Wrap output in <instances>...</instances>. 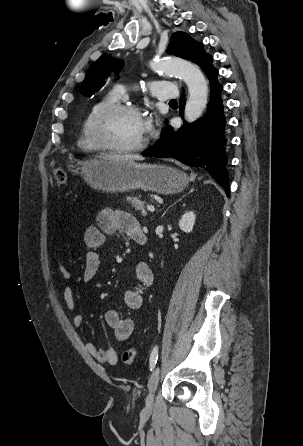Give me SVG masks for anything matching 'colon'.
<instances>
[{
  "instance_id": "obj_1",
  "label": "colon",
  "mask_w": 303,
  "mask_h": 446,
  "mask_svg": "<svg viewBox=\"0 0 303 446\" xmlns=\"http://www.w3.org/2000/svg\"><path fill=\"white\" fill-rule=\"evenodd\" d=\"M54 178L60 187H65L68 184V175L65 171L61 169L54 170ZM136 356H137L136 348L130 347L123 352L122 361L124 364L129 365L133 363Z\"/></svg>"
}]
</instances>
